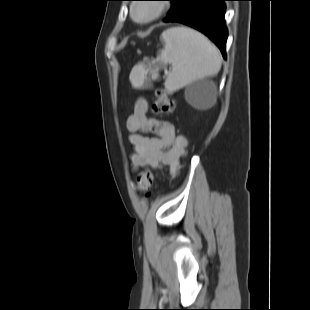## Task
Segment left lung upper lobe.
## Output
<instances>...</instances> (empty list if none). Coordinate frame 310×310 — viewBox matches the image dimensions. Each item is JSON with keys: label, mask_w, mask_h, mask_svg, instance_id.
<instances>
[{"label": "left lung upper lobe", "mask_w": 310, "mask_h": 310, "mask_svg": "<svg viewBox=\"0 0 310 310\" xmlns=\"http://www.w3.org/2000/svg\"><path fill=\"white\" fill-rule=\"evenodd\" d=\"M168 1L172 2V8L169 11L168 16L165 19V21L171 22L182 10L186 0H168Z\"/></svg>", "instance_id": "1"}]
</instances>
